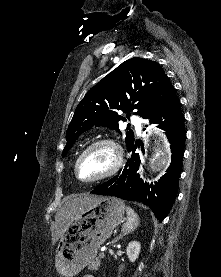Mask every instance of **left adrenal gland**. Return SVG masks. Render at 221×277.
<instances>
[{"label":"left adrenal gland","instance_id":"a2214340","mask_svg":"<svg viewBox=\"0 0 221 277\" xmlns=\"http://www.w3.org/2000/svg\"><path fill=\"white\" fill-rule=\"evenodd\" d=\"M120 237H116L112 242H115L119 239Z\"/></svg>","mask_w":221,"mask_h":277}]
</instances>
